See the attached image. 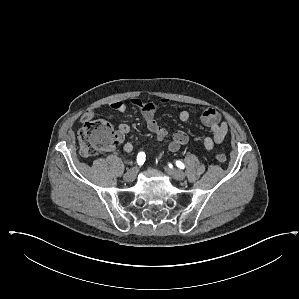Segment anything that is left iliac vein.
I'll return each instance as SVG.
<instances>
[{"label": "left iliac vein", "mask_w": 299, "mask_h": 299, "mask_svg": "<svg viewBox=\"0 0 299 299\" xmlns=\"http://www.w3.org/2000/svg\"><path fill=\"white\" fill-rule=\"evenodd\" d=\"M165 170L175 180L182 181L185 178V174L181 170L173 168H165Z\"/></svg>", "instance_id": "1"}]
</instances>
